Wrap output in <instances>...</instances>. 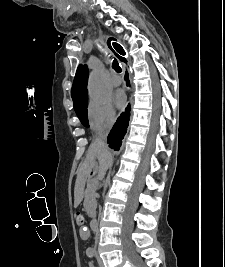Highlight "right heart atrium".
<instances>
[{
  "mask_svg": "<svg viewBox=\"0 0 225 267\" xmlns=\"http://www.w3.org/2000/svg\"><path fill=\"white\" fill-rule=\"evenodd\" d=\"M88 119L93 132L110 129L116 120V113L110 99L92 98L88 104Z\"/></svg>",
  "mask_w": 225,
  "mask_h": 267,
  "instance_id": "1",
  "label": "right heart atrium"
}]
</instances>
